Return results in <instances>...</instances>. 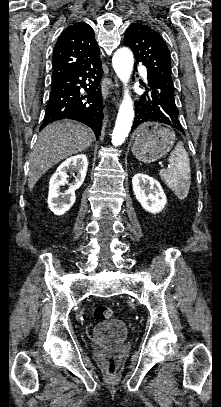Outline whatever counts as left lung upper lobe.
Segmentation results:
<instances>
[{
    "mask_svg": "<svg viewBox=\"0 0 221 407\" xmlns=\"http://www.w3.org/2000/svg\"><path fill=\"white\" fill-rule=\"evenodd\" d=\"M124 44L133 51L136 63L142 62L147 67L148 78L173 85L169 50L157 31L144 24H131L126 30Z\"/></svg>",
    "mask_w": 221,
    "mask_h": 407,
    "instance_id": "5c2ea615",
    "label": "left lung upper lobe"
}]
</instances>
